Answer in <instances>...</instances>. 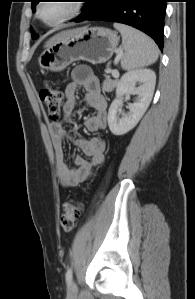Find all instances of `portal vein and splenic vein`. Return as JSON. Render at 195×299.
<instances>
[{"mask_svg":"<svg viewBox=\"0 0 195 299\" xmlns=\"http://www.w3.org/2000/svg\"><path fill=\"white\" fill-rule=\"evenodd\" d=\"M111 73H112V76L114 78H118L119 77V72L117 70H113Z\"/></svg>","mask_w":195,"mask_h":299,"instance_id":"1","label":"portal vein and splenic vein"}]
</instances>
